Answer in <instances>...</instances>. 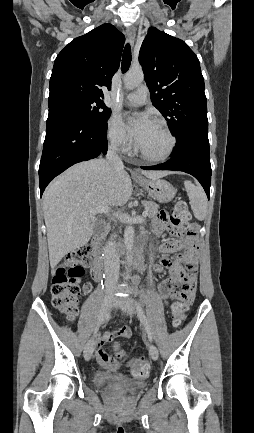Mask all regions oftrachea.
<instances>
[{
    "instance_id": "3493384b",
    "label": "trachea",
    "mask_w": 254,
    "mask_h": 433,
    "mask_svg": "<svg viewBox=\"0 0 254 433\" xmlns=\"http://www.w3.org/2000/svg\"><path fill=\"white\" fill-rule=\"evenodd\" d=\"M131 48L129 44H126L124 52H123V56H122V63H121V70L122 73H125L131 64Z\"/></svg>"
}]
</instances>
